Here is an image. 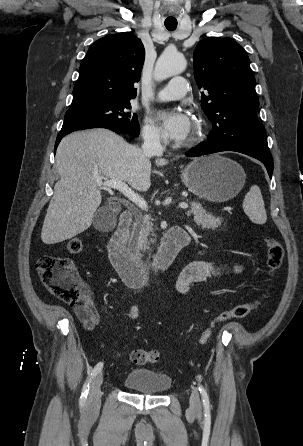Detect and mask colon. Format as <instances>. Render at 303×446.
<instances>
[{
	"mask_svg": "<svg viewBox=\"0 0 303 446\" xmlns=\"http://www.w3.org/2000/svg\"><path fill=\"white\" fill-rule=\"evenodd\" d=\"M267 268L270 276H274L280 268L284 249L281 243L274 238L266 239ZM69 254H80L83 250V242L79 238H72L66 244ZM38 275L49 292L60 301L67 304H77L81 299V282L73 261L69 258L56 256H42L36 262ZM261 305L260 299L249 303L237 305L233 309L223 312L201 334L200 345H205L210 340L216 326L231 319L244 318L257 310ZM130 359L137 365L156 363L159 360L157 350L136 349L130 354Z\"/></svg>",
	"mask_w": 303,
	"mask_h": 446,
	"instance_id": "colon-1",
	"label": "colon"
}]
</instances>
